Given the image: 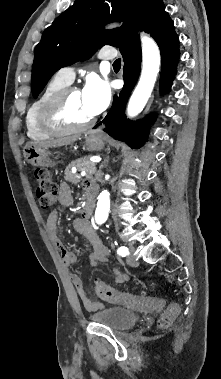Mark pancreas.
I'll return each instance as SVG.
<instances>
[{
  "label": "pancreas",
  "mask_w": 221,
  "mask_h": 379,
  "mask_svg": "<svg viewBox=\"0 0 221 379\" xmlns=\"http://www.w3.org/2000/svg\"><path fill=\"white\" fill-rule=\"evenodd\" d=\"M76 167L80 171H86L87 175L86 177L91 174L92 169L95 167V163L88 161L87 158H79L77 160L72 161L65 169V180L68 182H71L73 184H77L80 179L81 175L78 173H72L71 168Z\"/></svg>",
  "instance_id": "cf45deb5"
}]
</instances>
